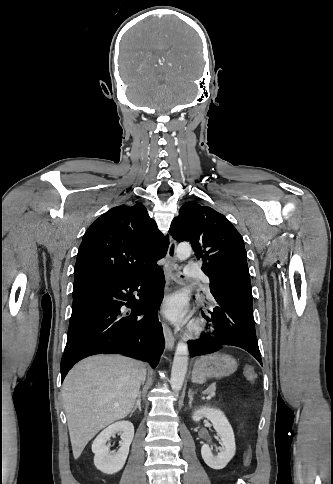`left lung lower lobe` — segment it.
Instances as JSON below:
<instances>
[{
    "label": "left lung lower lobe",
    "instance_id": "1",
    "mask_svg": "<svg viewBox=\"0 0 333 484\" xmlns=\"http://www.w3.org/2000/svg\"><path fill=\"white\" fill-rule=\"evenodd\" d=\"M210 288L217 306L204 309L202 316L211 322L213 332L189 341L191 357L237 346L252 354L262 365L253 318L252 292L247 261L240 254L225 255L209 269Z\"/></svg>",
    "mask_w": 333,
    "mask_h": 484
}]
</instances>
